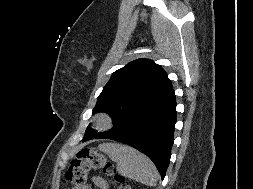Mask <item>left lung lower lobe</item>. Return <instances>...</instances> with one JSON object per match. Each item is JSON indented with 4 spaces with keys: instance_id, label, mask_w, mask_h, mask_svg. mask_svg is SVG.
<instances>
[{
    "instance_id": "0a47b994",
    "label": "left lung lower lobe",
    "mask_w": 253,
    "mask_h": 189,
    "mask_svg": "<svg viewBox=\"0 0 253 189\" xmlns=\"http://www.w3.org/2000/svg\"><path fill=\"white\" fill-rule=\"evenodd\" d=\"M176 97L172 88L159 101L138 112L119 127L106 133L85 134L83 142L104 138L128 144L146 154L162 179L170 162L176 123Z\"/></svg>"
}]
</instances>
